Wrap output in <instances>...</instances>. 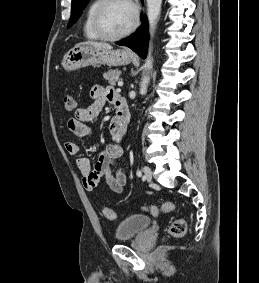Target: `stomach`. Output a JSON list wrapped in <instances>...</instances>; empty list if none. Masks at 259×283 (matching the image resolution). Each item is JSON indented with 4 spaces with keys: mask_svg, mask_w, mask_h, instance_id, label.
Instances as JSON below:
<instances>
[{
    "mask_svg": "<svg viewBox=\"0 0 259 283\" xmlns=\"http://www.w3.org/2000/svg\"><path fill=\"white\" fill-rule=\"evenodd\" d=\"M132 55L125 49H103L82 45L71 49L62 60L65 70L71 71L93 65L119 66L129 64Z\"/></svg>",
    "mask_w": 259,
    "mask_h": 283,
    "instance_id": "stomach-1",
    "label": "stomach"
}]
</instances>
